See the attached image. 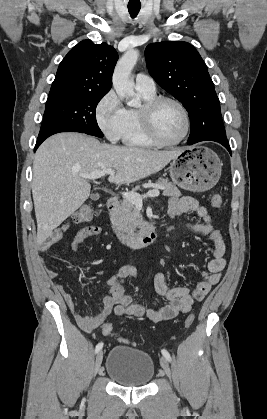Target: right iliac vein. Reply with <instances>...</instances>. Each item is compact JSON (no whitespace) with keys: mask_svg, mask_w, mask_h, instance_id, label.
Here are the masks:
<instances>
[{"mask_svg":"<svg viewBox=\"0 0 267 419\" xmlns=\"http://www.w3.org/2000/svg\"><path fill=\"white\" fill-rule=\"evenodd\" d=\"M102 359H103V352L100 351L97 354L96 359H95V366H94V373L95 374H97L98 371H99V369H100V366H101V363H102Z\"/></svg>","mask_w":267,"mask_h":419,"instance_id":"63e3f726","label":"right iliac vein"}]
</instances>
